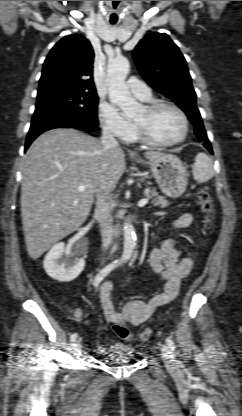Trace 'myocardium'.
I'll list each match as a JSON object with an SVG mask.
<instances>
[{"label":"myocardium","mask_w":242,"mask_h":416,"mask_svg":"<svg viewBox=\"0 0 242 416\" xmlns=\"http://www.w3.org/2000/svg\"><path fill=\"white\" fill-rule=\"evenodd\" d=\"M160 107L171 108L179 115L183 124V130H182L181 135L177 139L172 140V141H160V140L155 139L153 136H151V134L149 133L148 129L146 128L144 124L133 121L134 131H135V135L137 139H139L141 142H143L146 145L155 146V147H169V146L180 144L186 139L188 132H189V121L185 112L179 106L167 100L154 99V100L148 101L147 103L143 105V108L147 113H152Z\"/></svg>","instance_id":"myocardium-1"}]
</instances>
